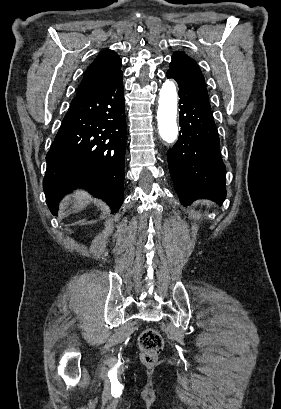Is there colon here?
<instances>
[{"instance_id": "obj_1", "label": "colon", "mask_w": 281, "mask_h": 409, "mask_svg": "<svg viewBox=\"0 0 281 409\" xmlns=\"http://www.w3.org/2000/svg\"><path fill=\"white\" fill-rule=\"evenodd\" d=\"M164 346L160 333L154 328H146L139 337L141 359L145 364H153Z\"/></svg>"}]
</instances>
